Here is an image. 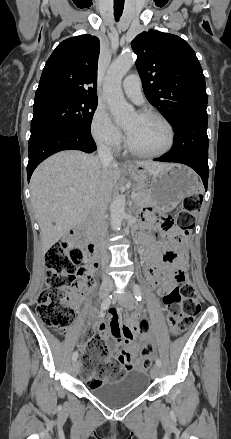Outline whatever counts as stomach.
<instances>
[{"label": "stomach", "instance_id": "1", "mask_svg": "<svg viewBox=\"0 0 231 439\" xmlns=\"http://www.w3.org/2000/svg\"><path fill=\"white\" fill-rule=\"evenodd\" d=\"M127 173L138 183L147 184L151 195V204L162 212H170L186 197L196 194L200 189L197 174L190 168L173 164L156 174L134 165Z\"/></svg>", "mask_w": 231, "mask_h": 439}]
</instances>
